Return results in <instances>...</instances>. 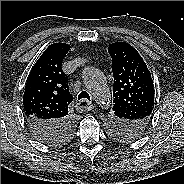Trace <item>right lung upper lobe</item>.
Wrapping results in <instances>:
<instances>
[{"label": "right lung upper lobe", "instance_id": "cb5924a9", "mask_svg": "<svg viewBox=\"0 0 184 184\" xmlns=\"http://www.w3.org/2000/svg\"><path fill=\"white\" fill-rule=\"evenodd\" d=\"M70 46L51 44L33 66L23 96V109L27 119L57 122L67 117L73 100L69 92L68 77L63 72L62 60Z\"/></svg>", "mask_w": 184, "mask_h": 184}]
</instances>
